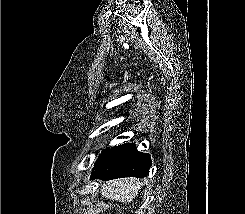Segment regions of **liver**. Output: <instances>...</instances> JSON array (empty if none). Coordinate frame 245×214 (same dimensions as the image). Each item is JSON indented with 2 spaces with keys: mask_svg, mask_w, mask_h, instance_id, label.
Returning a JSON list of instances; mask_svg holds the SVG:
<instances>
[{
  "mask_svg": "<svg viewBox=\"0 0 245 214\" xmlns=\"http://www.w3.org/2000/svg\"><path fill=\"white\" fill-rule=\"evenodd\" d=\"M145 182L135 178L118 179L101 184L102 197L123 204L131 203Z\"/></svg>",
  "mask_w": 245,
  "mask_h": 214,
  "instance_id": "obj_1",
  "label": "liver"
}]
</instances>
